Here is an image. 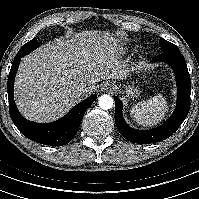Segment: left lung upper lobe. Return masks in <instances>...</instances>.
<instances>
[{"label": "left lung upper lobe", "mask_w": 199, "mask_h": 199, "mask_svg": "<svg viewBox=\"0 0 199 199\" xmlns=\"http://www.w3.org/2000/svg\"><path fill=\"white\" fill-rule=\"evenodd\" d=\"M160 44L162 46V52L163 51L179 50L174 44L164 40L163 38H160Z\"/></svg>", "instance_id": "left-lung-upper-lobe-1"}]
</instances>
